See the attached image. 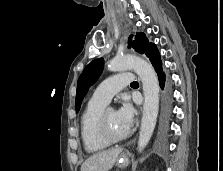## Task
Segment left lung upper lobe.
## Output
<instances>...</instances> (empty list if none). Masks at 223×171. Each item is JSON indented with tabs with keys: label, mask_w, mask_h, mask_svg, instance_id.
Here are the masks:
<instances>
[{
	"label": "left lung upper lobe",
	"mask_w": 223,
	"mask_h": 171,
	"mask_svg": "<svg viewBox=\"0 0 223 171\" xmlns=\"http://www.w3.org/2000/svg\"><path fill=\"white\" fill-rule=\"evenodd\" d=\"M132 38L133 35H131L128 40L129 48L133 47L135 48V51L146 55L147 51L153 43H149L146 35L142 32L137 33L134 40H132ZM103 65V58L95 59L85 67L82 74L80 75L77 82V93L75 101L76 112L79 111L81 102L87 94L90 86L93 85L100 76L103 70Z\"/></svg>",
	"instance_id": "obj_1"
}]
</instances>
